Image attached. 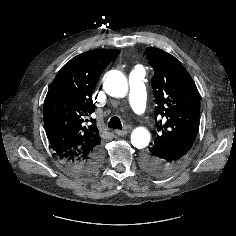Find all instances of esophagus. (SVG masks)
Returning a JSON list of instances; mask_svg holds the SVG:
<instances>
[{
	"mask_svg": "<svg viewBox=\"0 0 236 236\" xmlns=\"http://www.w3.org/2000/svg\"><path fill=\"white\" fill-rule=\"evenodd\" d=\"M129 133L127 130H115V134L118 136H125Z\"/></svg>",
	"mask_w": 236,
	"mask_h": 236,
	"instance_id": "1",
	"label": "esophagus"
}]
</instances>
